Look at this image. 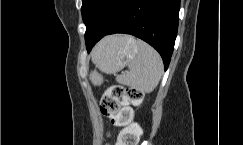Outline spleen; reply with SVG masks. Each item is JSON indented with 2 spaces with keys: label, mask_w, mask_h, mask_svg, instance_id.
<instances>
[{
  "label": "spleen",
  "mask_w": 243,
  "mask_h": 145,
  "mask_svg": "<svg viewBox=\"0 0 243 145\" xmlns=\"http://www.w3.org/2000/svg\"><path fill=\"white\" fill-rule=\"evenodd\" d=\"M138 53L129 62V71L117 75L116 81L141 92L150 93L158 85L163 74V62L159 53L144 41H136Z\"/></svg>",
  "instance_id": "obj_1"
}]
</instances>
